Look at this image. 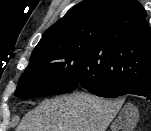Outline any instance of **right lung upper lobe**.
Returning a JSON list of instances; mask_svg holds the SVG:
<instances>
[{
    "mask_svg": "<svg viewBox=\"0 0 151 131\" xmlns=\"http://www.w3.org/2000/svg\"><path fill=\"white\" fill-rule=\"evenodd\" d=\"M72 42L110 83L151 80V28L137 0H83L48 28L35 48Z\"/></svg>",
    "mask_w": 151,
    "mask_h": 131,
    "instance_id": "right-lung-upper-lobe-1",
    "label": "right lung upper lobe"
}]
</instances>
